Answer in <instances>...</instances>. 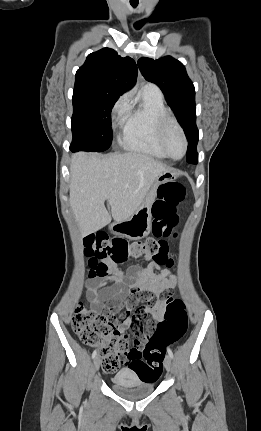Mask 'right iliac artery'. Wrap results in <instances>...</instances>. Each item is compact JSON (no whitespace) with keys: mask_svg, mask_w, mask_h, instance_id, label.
Instances as JSON below:
<instances>
[{"mask_svg":"<svg viewBox=\"0 0 261 431\" xmlns=\"http://www.w3.org/2000/svg\"><path fill=\"white\" fill-rule=\"evenodd\" d=\"M97 355V350H94V352L92 353V358L94 359Z\"/></svg>","mask_w":261,"mask_h":431,"instance_id":"right-iliac-artery-1","label":"right iliac artery"}]
</instances>
